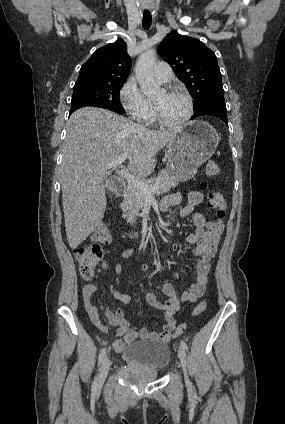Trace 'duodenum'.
Returning <instances> with one entry per match:
<instances>
[{
    "instance_id": "410a0bca",
    "label": "duodenum",
    "mask_w": 285,
    "mask_h": 424,
    "mask_svg": "<svg viewBox=\"0 0 285 424\" xmlns=\"http://www.w3.org/2000/svg\"><path fill=\"white\" fill-rule=\"evenodd\" d=\"M110 189L114 193H122L125 190V182L121 177H113L110 180Z\"/></svg>"
}]
</instances>
